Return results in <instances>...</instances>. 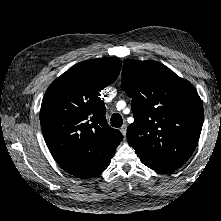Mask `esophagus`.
<instances>
[{"label":"esophagus","mask_w":221,"mask_h":221,"mask_svg":"<svg viewBox=\"0 0 221 221\" xmlns=\"http://www.w3.org/2000/svg\"><path fill=\"white\" fill-rule=\"evenodd\" d=\"M126 128H127L126 124H124V125L120 128V131H121V133L123 134L124 137L126 136Z\"/></svg>","instance_id":"esophagus-1"}]
</instances>
